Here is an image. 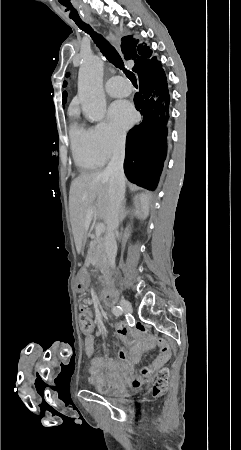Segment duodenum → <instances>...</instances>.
Here are the masks:
<instances>
[{
  "label": "duodenum",
  "mask_w": 241,
  "mask_h": 450,
  "mask_svg": "<svg viewBox=\"0 0 241 450\" xmlns=\"http://www.w3.org/2000/svg\"><path fill=\"white\" fill-rule=\"evenodd\" d=\"M85 275V271L82 272V276ZM102 296L105 300H112L115 296L114 290L110 286H105L102 289Z\"/></svg>",
  "instance_id": "duodenum-1"
}]
</instances>
